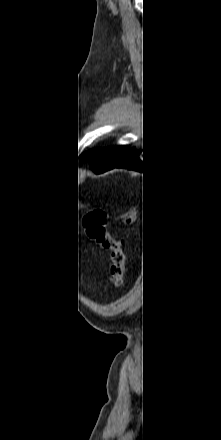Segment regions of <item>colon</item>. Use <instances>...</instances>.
<instances>
[{
	"label": "colon",
	"mask_w": 221,
	"mask_h": 440,
	"mask_svg": "<svg viewBox=\"0 0 221 440\" xmlns=\"http://www.w3.org/2000/svg\"><path fill=\"white\" fill-rule=\"evenodd\" d=\"M129 219L136 220V215H129ZM108 217L105 216L101 219L90 217L86 221V228L89 237L99 244L103 249L110 251L111 253V282L113 286L120 287L123 283V277L126 265V253L123 249L122 242L109 235L105 228V223Z\"/></svg>",
	"instance_id": "obj_1"
}]
</instances>
